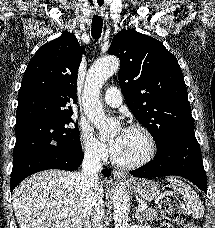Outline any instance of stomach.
I'll use <instances>...</instances> for the list:
<instances>
[{
  "label": "stomach",
  "instance_id": "0dacf381",
  "mask_svg": "<svg viewBox=\"0 0 215 228\" xmlns=\"http://www.w3.org/2000/svg\"><path fill=\"white\" fill-rule=\"evenodd\" d=\"M129 186H132L134 194L141 200H145V202L155 200L160 194V186L152 180H136V182L130 180Z\"/></svg>",
  "mask_w": 215,
  "mask_h": 228
}]
</instances>
